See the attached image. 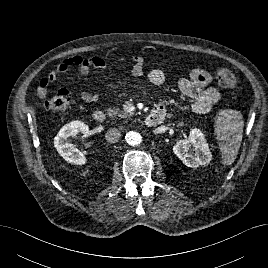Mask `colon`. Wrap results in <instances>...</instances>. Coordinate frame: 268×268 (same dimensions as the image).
Returning <instances> with one entry per match:
<instances>
[{
    "label": "colon",
    "instance_id": "obj_1",
    "mask_svg": "<svg viewBox=\"0 0 268 268\" xmlns=\"http://www.w3.org/2000/svg\"><path fill=\"white\" fill-rule=\"evenodd\" d=\"M218 83L225 89H234L237 86V78L235 73L228 68H218L216 71ZM43 92V88L40 89ZM71 103L70 92L61 89L54 95L48 96L47 93L39 102V108L49 112L66 111Z\"/></svg>",
    "mask_w": 268,
    "mask_h": 268
}]
</instances>
